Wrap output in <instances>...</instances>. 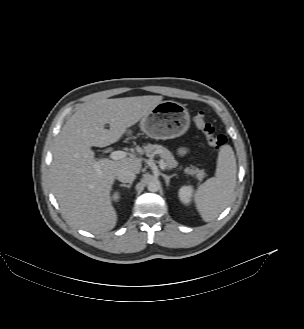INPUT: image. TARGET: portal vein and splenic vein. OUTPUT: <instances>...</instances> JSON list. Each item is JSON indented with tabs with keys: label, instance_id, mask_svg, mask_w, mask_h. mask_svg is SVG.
Returning <instances> with one entry per match:
<instances>
[{
	"label": "portal vein and splenic vein",
	"instance_id": "1",
	"mask_svg": "<svg viewBox=\"0 0 304 329\" xmlns=\"http://www.w3.org/2000/svg\"><path fill=\"white\" fill-rule=\"evenodd\" d=\"M127 155H128V154H127V152H125V151L116 150V151L111 152L109 157H110L112 160H121V159L126 158ZM159 164H160V168H161V169H165V167H166V163L164 162V160H160V161H159Z\"/></svg>",
	"mask_w": 304,
	"mask_h": 329
}]
</instances>
